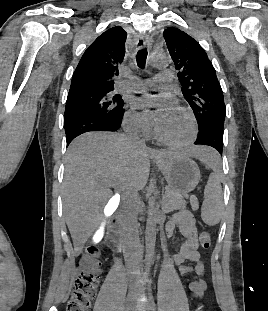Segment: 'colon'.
<instances>
[{"instance_id":"colon-1","label":"colon","mask_w":268,"mask_h":311,"mask_svg":"<svg viewBox=\"0 0 268 311\" xmlns=\"http://www.w3.org/2000/svg\"><path fill=\"white\" fill-rule=\"evenodd\" d=\"M199 241L202 247L208 248L211 243L210 233L201 232ZM99 257L98 248L88 247L85 249L74 282L73 293L68 301L67 311H89L101 273ZM202 309L203 307L199 305L196 311H202Z\"/></svg>"}]
</instances>
